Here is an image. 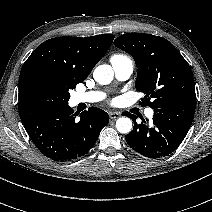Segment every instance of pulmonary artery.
Wrapping results in <instances>:
<instances>
[{"label":"pulmonary artery","mask_w":212,"mask_h":212,"mask_svg":"<svg viewBox=\"0 0 212 212\" xmlns=\"http://www.w3.org/2000/svg\"><path fill=\"white\" fill-rule=\"evenodd\" d=\"M112 67L116 78L124 81L127 80L134 71V63L131 59L124 57L120 59L111 60ZM104 98V94L99 91H91L86 93H77L73 96L72 100L75 104L79 103H95ZM145 115L151 118L154 115V111L151 108L145 110Z\"/></svg>","instance_id":"1"}]
</instances>
